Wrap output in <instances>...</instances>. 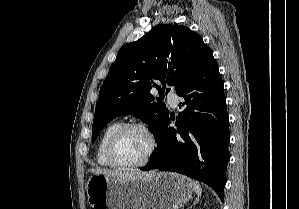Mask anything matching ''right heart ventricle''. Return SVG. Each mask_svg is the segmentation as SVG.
<instances>
[{"label":"right heart ventricle","mask_w":299,"mask_h":209,"mask_svg":"<svg viewBox=\"0 0 299 209\" xmlns=\"http://www.w3.org/2000/svg\"><path fill=\"white\" fill-rule=\"evenodd\" d=\"M121 125L119 121L109 123L103 130L96 148V160L102 166H110L106 158V147L112 133Z\"/></svg>","instance_id":"e07e8e85"}]
</instances>
